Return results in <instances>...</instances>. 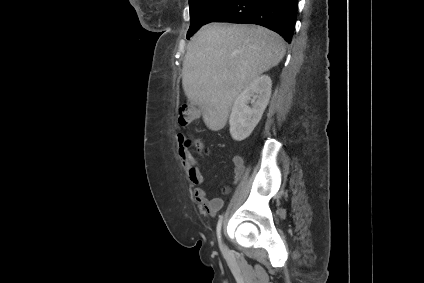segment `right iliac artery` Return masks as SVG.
<instances>
[{
	"label": "right iliac artery",
	"mask_w": 424,
	"mask_h": 283,
	"mask_svg": "<svg viewBox=\"0 0 424 283\" xmlns=\"http://www.w3.org/2000/svg\"><path fill=\"white\" fill-rule=\"evenodd\" d=\"M222 218H223V216H220L218 223H217V228H216L217 238H218L219 242L221 241Z\"/></svg>",
	"instance_id": "obj_1"
}]
</instances>
